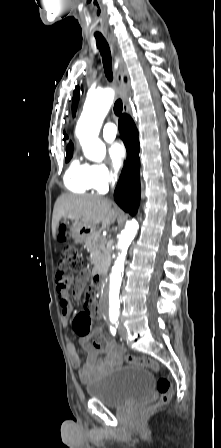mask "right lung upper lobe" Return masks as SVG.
Listing matches in <instances>:
<instances>
[{
	"instance_id": "obj_1",
	"label": "right lung upper lobe",
	"mask_w": 221,
	"mask_h": 448,
	"mask_svg": "<svg viewBox=\"0 0 221 448\" xmlns=\"http://www.w3.org/2000/svg\"><path fill=\"white\" fill-rule=\"evenodd\" d=\"M68 137L67 135L64 133V140H66ZM66 152L67 153H73V144L70 142L69 145L66 148Z\"/></svg>"
}]
</instances>
